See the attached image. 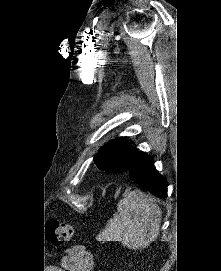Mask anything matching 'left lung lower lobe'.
<instances>
[{
  "instance_id": "left-lung-lower-lobe-1",
  "label": "left lung lower lobe",
  "mask_w": 221,
  "mask_h": 271,
  "mask_svg": "<svg viewBox=\"0 0 221 271\" xmlns=\"http://www.w3.org/2000/svg\"><path fill=\"white\" fill-rule=\"evenodd\" d=\"M130 178L153 195L166 198L167 182L155 169L152 157L138 151L127 168Z\"/></svg>"
}]
</instances>
